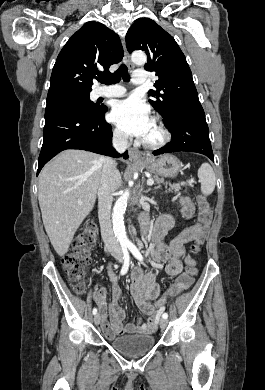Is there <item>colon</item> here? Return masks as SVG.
<instances>
[{
  "mask_svg": "<svg viewBox=\"0 0 265 390\" xmlns=\"http://www.w3.org/2000/svg\"><path fill=\"white\" fill-rule=\"evenodd\" d=\"M199 213L198 222L205 224L211 217V204L202 196L198 198ZM97 226L89 223L84 230L73 240L68 252L62 258V267L65 275L77 293H84L87 288L86 273L91 263V251L97 241ZM202 240L199 239L191 247V252L196 254ZM196 273V268L190 265L187 270L180 274L175 283L171 286L168 295H164L155 302L157 311H163L169 297H175L183 290L188 288Z\"/></svg>",
  "mask_w": 265,
  "mask_h": 390,
  "instance_id": "5ec220e1",
  "label": "colon"
}]
</instances>
